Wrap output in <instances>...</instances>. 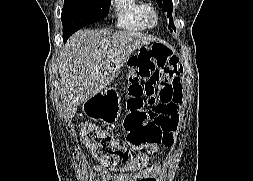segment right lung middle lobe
<instances>
[{"label": "right lung middle lobe", "instance_id": "obj_1", "mask_svg": "<svg viewBox=\"0 0 253 181\" xmlns=\"http://www.w3.org/2000/svg\"><path fill=\"white\" fill-rule=\"evenodd\" d=\"M109 13V0H65L62 9L63 35L74 32L105 18Z\"/></svg>", "mask_w": 253, "mask_h": 181}]
</instances>
